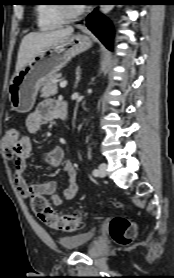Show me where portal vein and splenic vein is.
<instances>
[{"instance_id":"obj_1","label":"portal vein and splenic vein","mask_w":174,"mask_h":278,"mask_svg":"<svg viewBox=\"0 0 174 278\" xmlns=\"http://www.w3.org/2000/svg\"><path fill=\"white\" fill-rule=\"evenodd\" d=\"M59 85H60L61 88H65L67 86V81L63 80V81L60 82Z\"/></svg>"}]
</instances>
